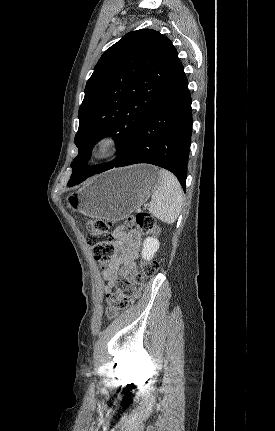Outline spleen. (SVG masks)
I'll return each instance as SVG.
<instances>
[{
  "mask_svg": "<svg viewBox=\"0 0 275 431\" xmlns=\"http://www.w3.org/2000/svg\"><path fill=\"white\" fill-rule=\"evenodd\" d=\"M161 178L152 193L149 212L158 219L172 224L179 216L182 206V188L177 178L165 169L159 170Z\"/></svg>",
  "mask_w": 275,
  "mask_h": 431,
  "instance_id": "obj_1",
  "label": "spleen"
}]
</instances>
